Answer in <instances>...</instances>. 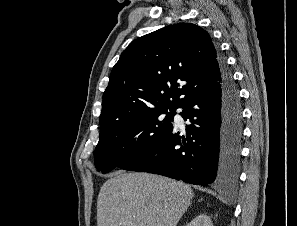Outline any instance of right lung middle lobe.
<instances>
[{"instance_id": "right-lung-middle-lobe-1", "label": "right lung middle lobe", "mask_w": 297, "mask_h": 226, "mask_svg": "<svg viewBox=\"0 0 297 226\" xmlns=\"http://www.w3.org/2000/svg\"><path fill=\"white\" fill-rule=\"evenodd\" d=\"M174 114L175 110L149 111L101 129L94 151L97 170L108 173L115 167L123 168L150 150L173 129Z\"/></svg>"}]
</instances>
